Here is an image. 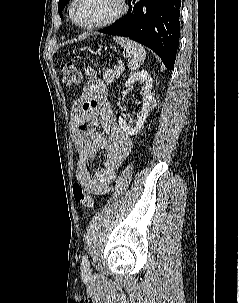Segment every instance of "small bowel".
Listing matches in <instances>:
<instances>
[{
    "label": "small bowel",
    "instance_id": "small-bowel-1",
    "mask_svg": "<svg viewBox=\"0 0 239 303\" xmlns=\"http://www.w3.org/2000/svg\"><path fill=\"white\" fill-rule=\"evenodd\" d=\"M73 115L72 139L78 154L75 179L90 193L107 194L133 144L112 115L104 82L92 73L73 106ZM101 150L106 151L104 166L91 175L89 163Z\"/></svg>",
    "mask_w": 239,
    "mask_h": 303
}]
</instances>
